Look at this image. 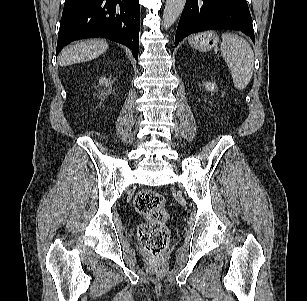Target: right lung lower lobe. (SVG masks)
Here are the masks:
<instances>
[{
    "label": "right lung lower lobe",
    "mask_w": 307,
    "mask_h": 301,
    "mask_svg": "<svg viewBox=\"0 0 307 301\" xmlns=\"http://www.w3.org/2000/svg\"><path fill=\"white\" fill-rule=\"evenodd\" d=\"M139 0H65L56 55L72 41L104 37L126 45L138 59Z\"/></svg>",
    "instance_id": "obj_1"
}]
</instances>
